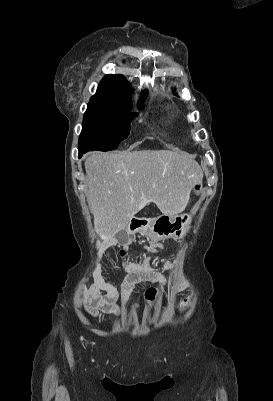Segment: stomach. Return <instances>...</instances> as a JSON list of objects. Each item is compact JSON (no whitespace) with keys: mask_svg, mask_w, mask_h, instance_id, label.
<instances>
[{"mask_svg":"<svg viewBox=\"0 0 273 401\" xmlns=\"http://www.w3.org/2000/svg\"><path fill=\"white\" fill-rule=\"evenodd\" d=\"M195 194H201L202 192V180L197 182L192 188ZM192 217L191 215H174V217H167V215H160L156 219H149L148 225L145 229H141V233L145 237H150L153 241H162V239H174V241H180L186 237Z\"/></svg>","mask_w":273,"mask_h":401,"instance_id":"stomach-1","label":"stomach"}]
</instances>
